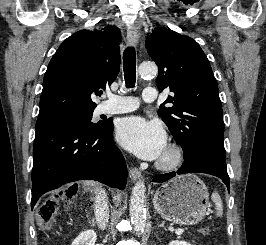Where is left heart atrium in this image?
<instances>
[{"label":"left heart atrium","mask_w":266,"mask_h":245,"mask_svg":"<svg viewBox=\"0 0 266 245\" xmlns=\"http://www.w3.org/2000/svg\"><path fill=\"white\" fill-rule=\"evenodd\" d=\"M119 143L137 156L155 160L162 156L166 148V134L154 121L131 116L121 119L116 127Z\"/></svg>","instance_id":"1"}]
</instances>
